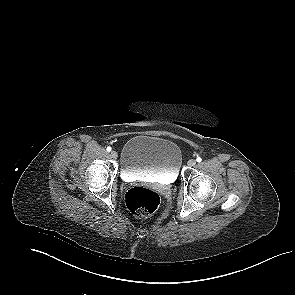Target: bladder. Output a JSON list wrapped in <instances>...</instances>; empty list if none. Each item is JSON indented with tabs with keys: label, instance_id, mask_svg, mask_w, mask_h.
I'll use <instances>...</instances> for the list:
<instances>
[{
	"label": "bladder",
	"instance_id": "obj_1",
	"mask_svg": "<svg viewBox=\"0 0 295 295\" xmlns=\"http://www.w3.org/2000/svg\"><path fill=\"white\" fill-rule=\"evenodd\" d=\"M121 173L125 177L150 176L159 180H176L182 163L179 146L168 139L137 135L121 149Z\"/></svg>",
	"mask_w": 295,
	"mask_h": 295
}]
</instances>
